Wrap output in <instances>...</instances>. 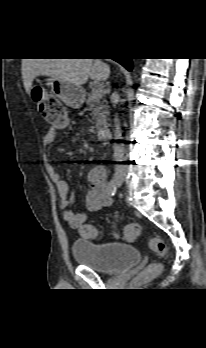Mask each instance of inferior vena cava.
Returning a JSON list of instances; mask_svg holds the SVG:
<instances>
[{
  "label": "inferior vena cava",
  "mask_w": 206,
  "mask_h": 348,
  "mask_svg": "<svg viewBox=\"0 0 206 348\" xmlns=\"http://www.w3.org/2000/svg\"><path fill=\"white\" fill-rule=\"evenodd\" d=\"M111 99H112V102L114 104H117L118 101H119V95L117 92H114L111 96ZM116 130H115V138L116 139H119L120 138V135H121V131H120V127H119V122H118V119H116ZM123 155H124V146L122 144H116L114 146V158L116 160H121L123 158Z\"/></svg>",
  "instance_id": "602c4592"
}]
</instances>
